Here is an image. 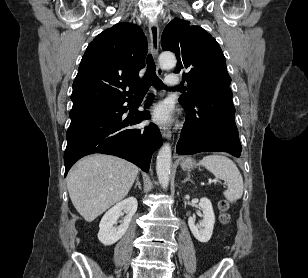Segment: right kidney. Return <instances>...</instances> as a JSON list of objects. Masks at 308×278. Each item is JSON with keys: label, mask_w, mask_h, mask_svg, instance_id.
<instances>
[{"label": "right kidney", "mask_w": 308, "mask_h": 278, "mask_svg": "<svg viewBox=\"0 0 308 278\" xmlns=\"http://www.w3.org/2000/svg\"><path fill=\"white\" fill-rule=\"evenodd\" d=\"M137 207L138 203L136 198L129 197L108 210L99 224V241L107 246L117 242L126 233L131 219L137 211ZM122 210L126 211L127 215L120 226L114 227V224L120 217Z\"/></svg>", "instance_id": "ca27d5eb"}]
</instances>
